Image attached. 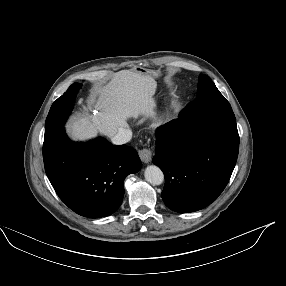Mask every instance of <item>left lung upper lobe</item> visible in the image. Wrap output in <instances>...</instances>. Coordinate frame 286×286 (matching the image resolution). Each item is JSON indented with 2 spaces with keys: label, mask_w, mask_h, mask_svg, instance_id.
Here are the masks:
<instances>
[{
  "label": "left lung upper lobe",
  "mask_w": 286,
  "mask_h": 286,
  "mask_svg": "<svg viewBox=\"0 0 286 286\" xmlns=\"http://www.w3.org/2000/svg\"><path fill=\"white\" fill-rule=\"evenodd\" d=\"M182 114L186 119L218 118L236 121L229 102L206 75H200L197 97Z\"/></svg>",
  "instance_id": "obj_1"
}]
</instances>
